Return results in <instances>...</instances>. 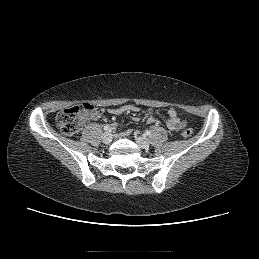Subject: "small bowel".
Returning a JSON list of instances; mask_svg holds the SVG:
<instances>
[{
  "label": "small bowel",
  "instance_id": "c3829d8e",
  "mask_svg": "<svg viewBox=\"0 0 259 259\" xmlns=\"http://www.w3.org/2000/svg\"><path fill=\"white\" fill-rule=\"evenodd\" d=\"M139 111H140L139 107L133 104H126L119 107H113L107 110L109 114L114 116H118L124 113H130V112L136 113ZM103 113H104L103 110H96L90 115V119H98L103 115ZM148 114H149L148 123L150 124L160 123L158 113L155 109H149ZM167 114H168V118L165 124L170 131L175 132L185 126V122L181 121L174 108L170 107L167 111Z\"/></svg>",
  "mask_w": 259,
  "mask_h": 259
}]
</instances>
